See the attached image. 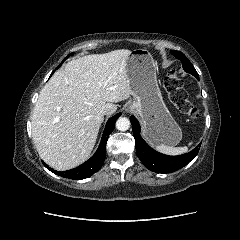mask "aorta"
I'll return each mask as SVG.
<instances>
[{"label": "aorta", "mask_w": 240, "mask_h": 240, "mask_svg": "<svg viewBox=\"0 0 240 240\" xmlns=\"http://www.w3.org/2000/svg\"><path fill=\"white\" fill-rule=\"evenodd\" d=\"M116 128L119 131H126L130 128V120L126 117H120L116 121Z\"/></svg>", "instance_id": "1"}]
</instances>
